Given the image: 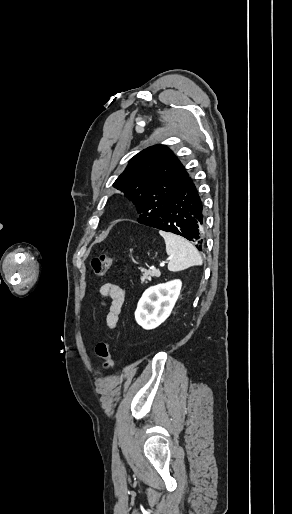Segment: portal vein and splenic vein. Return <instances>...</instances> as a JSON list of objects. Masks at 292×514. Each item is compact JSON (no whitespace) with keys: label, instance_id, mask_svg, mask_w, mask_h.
Wrapping results in <instances>:
<instances>
[{"label":"portal vein and splenic vein","instance_id":"1","mask_svg":"<svg viewBox=\"0 0 292 514\" xmlns=\"http://www.w3.org/2000/svg\"><path fill=\"white\" fill-rule=\"evenodd\" d=\"M165 264H166V262H163V264H160V266H165ZM158 272H159V270H158Z\"/></svg>","mask_w":292,"mask_h":514}]
</instances>
